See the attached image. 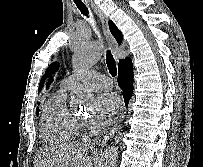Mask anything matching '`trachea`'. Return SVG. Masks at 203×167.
<instances>
[{
  "label": "trachea",
  "instance_id": "1",
  "mask_svg": "<svg viewBox=\"0 0 203 167\" xmlns=\"http://www.w3.org/2000/svg\"><path fill=\"white\" fill-rule=\"evenodd\" d=\"M76 5L78 9L81 11V13L88 17L89 15L88 8L83 3H76ZM106 64L110 74L113 77H115L117 75V68H116L115 60L110 50H107V53H106Z\"/></svg>",
  "mask_w": 203,
  "mask_h": 167
}]
</instances>
